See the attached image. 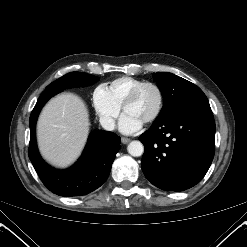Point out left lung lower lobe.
Returning a JSON list of instances; mask_svg holds the SVG:
<instances>
[{"label": "left lung lower lobe", "mask_w": 247, "mask_h": 247, "mask_svg": "<svg viewBox=\"0 0 247 247\" xmlns=\"http://www.w3.org/2000/svg\"><path fill=\"white\" fill-rule=\"evenodd\" d=\"M139 139L145 147L142 171L152 184L167 191L193 187L214 157L215 123L208 99H192L157 117Z\"/></svg>", "instance_id": "obj_1"}]
</instances>
